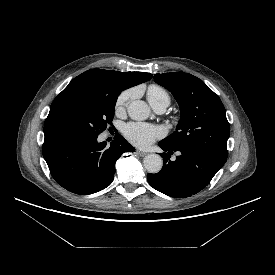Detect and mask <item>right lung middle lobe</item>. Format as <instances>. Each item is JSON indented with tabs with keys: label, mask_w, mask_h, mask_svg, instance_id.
<instances>
[{
	"label": "right lung middle lobe",
	"mask_w": 275,
	"mask_h": 275,
	"mask_svg": "<svg viewBox=\"0 0 275 275\" xmlns=\"http://www.w3.org/2000/svg\"><path fill=\"white\" fill-rule=\"evenodd\" d=\"M119 91L107 87H78L62 91L53 101L44 134L98 136L112 126Z\"/></svg>",
	"instance_id": "1"
}]
</instances>
